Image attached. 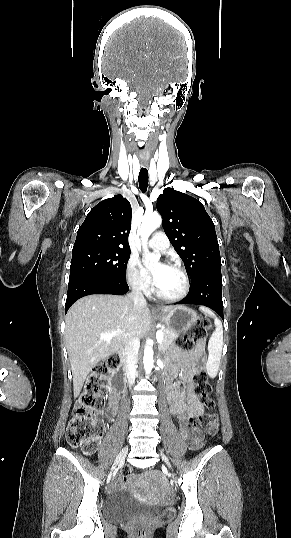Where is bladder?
I'll return each mask as SVG.
<instances>
[{
	"instance_id": "31cf9c89",
	"label": "bladder",
	"mask_w": 291,
	"mask_h": 538,
	"mask_svg": "<svg viewBox=\"0 0 291 538\" xmlns=\"http://www.w3.org/2000/svg\"><path fill=\"white\" fill-rule=\"evenodd\" d=\"M158 512L157 507L140 504L123 490L109 495L104 503V514L110 522H120L134 515Z\"/></svg>"
}]
</instances>
